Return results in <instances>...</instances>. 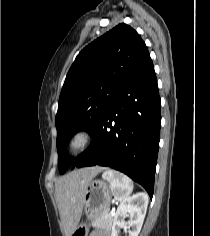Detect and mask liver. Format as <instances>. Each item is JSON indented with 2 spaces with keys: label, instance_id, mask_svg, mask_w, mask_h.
<instances>
[{
  "label": "liver",
  "instance_id": "liver-1",
  "mask_svg": "<svg viewBox=\"0 0 210 236\" xmlns=\"http://www.w3.org/2000/svg\"><path fill=\"white\" fill-rule=\"evenodd\" d=\"M104 169L99 166L83 168L56 181L55 194L65 236H71L78 226L83 211L86 187Z\"/></svg>",
  "mask_w": 210,
  "mask_h": 236
}]
</instances>
